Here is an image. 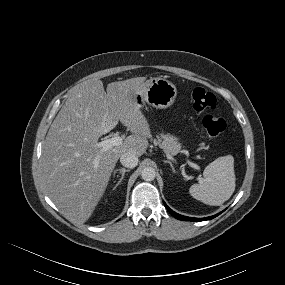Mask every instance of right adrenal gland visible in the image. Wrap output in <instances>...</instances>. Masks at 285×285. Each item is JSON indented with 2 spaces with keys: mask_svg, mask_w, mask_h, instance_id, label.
Returning <instances> with one entry per match:
<instances>
[{
  "mask_svg": "<svg viewBox=\"0 0 285 285\" xmlns=\"http://www.w3.org/2000/svg\"><path fill=\"white\" fill-rule=\"evenodd\" d=\"M129 171H130V169H125V168L116 169L114 171V173H117V172L121 173V177H120L119 181L116 183V185L113 187V189H116L119 186V184L122 182V180L124 178L125 173L129 172Z\"/></svg>",
  "mask_w": 285,
  "mask_h": 285,
  "instance_id": "1",
  "label": "right adrenal gland"
}]
</instances>
